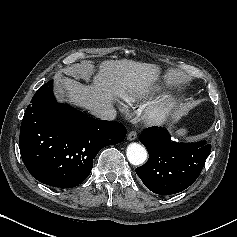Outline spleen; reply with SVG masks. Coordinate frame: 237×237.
<instances>
[{
    "instance_id": "obj_1",
    "label": "spleen",
    "mask_w": 237,
    "mask_h": 237,
    "mask_svg": "<svg viewBox=\"0 0 237 237\" xmlns=\"http://www.w3.org/2000/svg\"><path fill=\"white\" fill-rule=\"evenodd\" d=\"M186 134H187V130H186L185 128L178 129V130L175 132V135H176L177 137H184Z\"/></svg>"
}]
</instances>
